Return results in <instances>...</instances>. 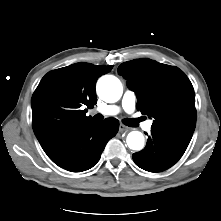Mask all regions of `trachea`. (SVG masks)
<instances>
[{"label":"trachea","mask_w":221,"mask_h":221,"mask_svg":"<svg viewBox=\"0 0 221 221\" xmlns=\"http://www.w3.org/2000/svg\"><path fill=\"white\" fill-rule=\"evenodd\" d=\"M96 120H102L103 116L101 114H97L94 116ZM140 122V118H132V119H124L123 123L129 127H136Z\"/></svg>","instance_id":"3493384b"}]
</instances>
